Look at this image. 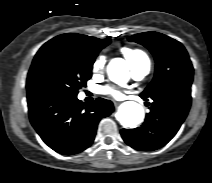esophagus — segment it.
Returning a JSON list of instances; mask_svg holds the SVG:
<instances>
[{"label": "esophagus", "mask_w": 212, "mask_h": 183, "mask_svg": "<svg viewBox=\"0 0 212 183\" xmlns=\"http://www.w3.org/2000/svg\"><path fill=\"white\" fill-rule=\"evenodd\" d=\"M113 103H114L115 107H117L119 105V102H117V101H114Z\"/></svg>", "instance_id": "1"}]
</instances>
